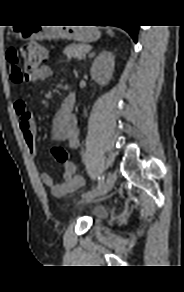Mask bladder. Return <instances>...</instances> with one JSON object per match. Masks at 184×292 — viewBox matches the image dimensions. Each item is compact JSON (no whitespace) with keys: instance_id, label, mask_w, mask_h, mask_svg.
<instances>
[{"instance_id":"1","label":"bladder","mask_w":184,"mask_h":292,"mask_svg":"<svg viewBox=\"0 0 184 292\" xmlns=\"http://www.w3.org/2000/svg\"><path fill=\"white\" fill-rule=\"evenodd\" d=\"M76 207L79 210H83L88 216H90L92 218H97L101 215V210L99 208H96V207L84 208V207H81L80 204H77Z\"/></svg>"}]
</instances>
